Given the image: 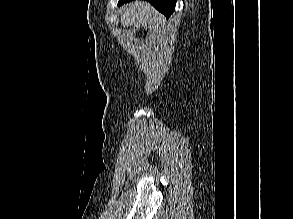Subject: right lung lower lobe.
Returning <instances> with one entry per match:
<instances>
[{
	"label": "right lung lower lobe",
	"mask_w": 293,
	"mask_h": 219,
	"mask_svg": "<svg viewBox=\"0 0 293 219\" xmlns=\"http://www.w3.org/2000/svg\"><path fill=\"white\" fill-rule=\"evenodd\" d=\"M129 1L131 0H119L118 5H122ZM147 1L153 4L155 8L159 10L161 13H163L166 17H169L175 9V4L177 0H147Z\"/></svg>",
	"instance_id": "obj_1"
}]
</instances>
